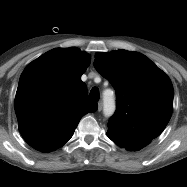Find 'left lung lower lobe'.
<instances>
[{
	"mask_svg": "<svg viewBox=\"0 0 187 187\" xmlns=\"http://www.w3.org/2000/svg\"><path fill=\"white\" fill-rule=\"evenodd\" d=\"M121 140H123V139L117 138V139H114L113 141H114L117 145L121 146ZM121 147H122V146H121ZM126 149H127V148H126ZM127 150H129V149H127Z\"/></svg>",
	"mask_w": 187,
	"mask_h": 187,
	"instance_id": "1",
	"label": "left lung lower lobe"
}]
</instances>
